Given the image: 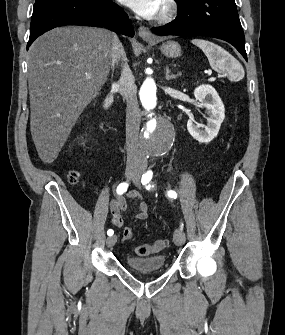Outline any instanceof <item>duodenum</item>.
I'll return each mask as SVG.
<instances>
[{"instance_id": "duodenum-1", "label": "duodenum", "mask_w": 285, "mask_h": 335, "mask_svg": "<svg viewBox=\"0 0 285 335\" xmlns=\"http://www.w3.org/2000/svg\"><path fill=\"white\" fill-rule=\"evenodd\" d=\"M112 102V97L111 95L107 96L106 99L103 102V109L107 110Z\"/></svg>"}]
</instances>
